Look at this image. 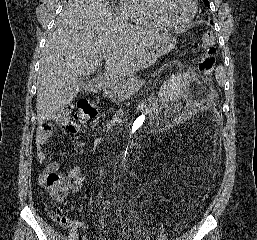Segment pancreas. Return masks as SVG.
Returning <instances> with one entry per match:
<instances>
[{
  "instance_id": "obj_1",
  "label": "pancreas",
  "mask_w": 257,
  "mask_h": 240,
  "mask_svg": "<svg viewBox=\"0 0 257 240\" xmlns=\"http://www.w3.org/2000/svg\"><path fill=\"white\" fill-rule=\"evenodd\" d=\"M140 85L141 80L138 77L132 76L127 81H123L116 86H111L110 90L105 89L104 95L113 101H123L133 95Z\"/></svg>"
}]
</instances>
